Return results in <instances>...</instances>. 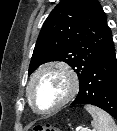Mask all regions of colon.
I'll use <instances>...</instances> for the list:
<instances>
[{
  "mask_svg": "<svg viewBox=\"0 0 117 131\" xmlns=\"http://www.w3.org/2000/svg\"><path fill=\"white\" fill-rule=\"evenodd\" d=\"M31 131H61V129L52 125H36Z\"/></svg>",
  "mask_w": 117,
  "mask_h": 131,
  "instance_id": "1",
  "label": "colon"
}]
</instances>
